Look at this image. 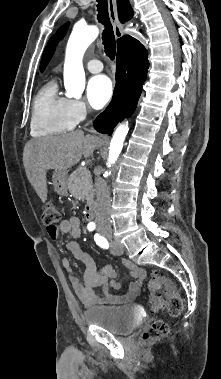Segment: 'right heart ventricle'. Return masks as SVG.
Returning a JSON list of instances; mask_svg holds the SVG:
<instances>
[{"label":"right heart ventricle","instance_id":"right-heart-ventricle-1","mask_svg":"<svg viewBox=\"0 0 221 379\" xmlns=\"http://www.w3.org/2000/svg\"><path fill=\"white\" fill-rule=\"evenodd\" d=\"M76 125L68 99L60 96L57 85L51 81L36 95L30 122L33 136H53L72 130Z\"/></svg>","mask_w":221,"mask_h":379}]
</instances>
